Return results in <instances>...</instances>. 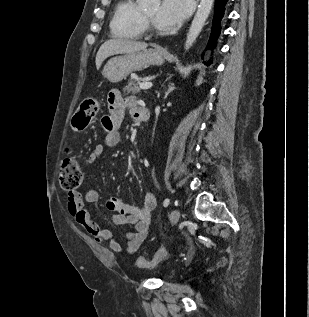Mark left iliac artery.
Listing matches in <instances>:
<instances>
[{"label": "left iliac artery", "mask_w": 309, "mask_h": 317, "mask_svg": "<svg viewBox=\"0 0 309 317\" xmlns=\"http://www.w3.org/2000/svg\"><path fill=\"white\" fill-rule=\"evenodd\" d=\"M169 203H170V199H169V198H166V199L164 200V202H163V206H164V207H167V206L169 205Z\"/></svg>", "instance_id": "obj_1"}]
</instances>
